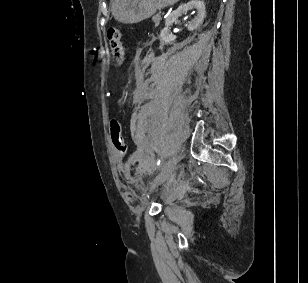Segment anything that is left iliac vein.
<instances>
[{
    "mask_svg": "<svg viewBox=\"0 0 308 283\" xmlns=\"http://www.w3.org/2000/svg\"><path fill=\"white\" fill-rule=\"evenodd\" d=\"M182 159V154H178L173 157L165 166L161 169L159 175L152 182L151 188L155 189L162 184L174 171L177 163Z\"/></svg>",
    "mask_w": 308,
    "mask_h": 283,
    "instance_id": "left-iliac-vein-1",
    "label": "left iliac vein"
}]
</instances>
